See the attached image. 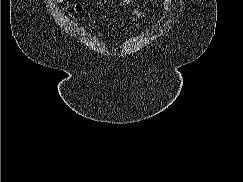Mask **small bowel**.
I'll return each mask as SVG.
<instances>
[{"instance_id": "c3829d8e", "label": "small bowel", "mask_w": 243, "mask_h": 182, "mask_svg": "<svg viewBox=\"0 0 243 182\" xmlns=\"http://www.w3.org/2000/svg\"><path fill=\"white\" fill-rule=\"evenodd\" d=\"M133 15L138 17V18H145L146 17V14L141 12V11H134Z\"/></svg>"}]
</instances>
